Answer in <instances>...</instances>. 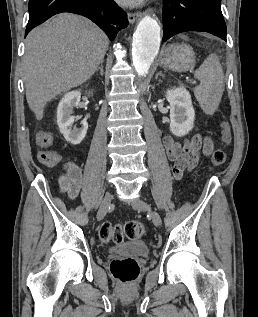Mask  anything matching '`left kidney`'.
<instances>
[{
    "label": "left kidney",
    "mask_w": 258,
    "mask_h": 317,
    "mask_svg": "<svg viewBox=\"0 0 258 317\" xmlns=\"http://www.w3.org/2000/svg\"><path fill=\"white\" fill-rule=\"evenodd\" d=\"M170 104V130L176 136H184L192 130L195 110L192 106L191 94L184 86L169 88L165 94Z\"/></svg>",
    "instance_id": "left-kidney-1"
}]
</instances>
